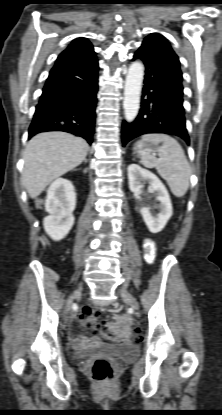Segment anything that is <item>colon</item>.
I'll list each match as a JSON object with an SVG mask.
<instances>
[{
    "label": "colon",
    "instance_id": "5ec220e1",
    "mask_svg": "<svg viewBox=\"0 0 222 415\" xmlns=\"http://www.w3.org/2000/svg\"><path fill=\"white\" fill-rule=\"evenodd\" d=\"M80 325L91 330L94 334L104 335L113 341H125L131 339H139L141 333L139 328L133 327L128 330L124 327L122 321L108 322L103 319L100 313L83 309L79 315ZM113 366L106 359H97L91 366V373L96 380H109L113 376Z\"/></svg>",
    "mask_w": 222,
    "mask_h": 415
}]
</instances>
